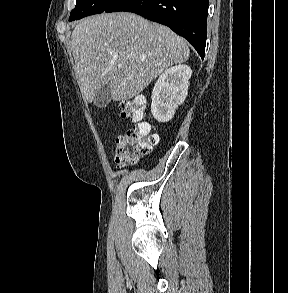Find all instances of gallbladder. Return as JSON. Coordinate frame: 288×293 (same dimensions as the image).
<instances>
[{
    "mask_svg": "<svg viewBox=\"0 0 288 293\" xmlns=\"http://www.w3.org/2000/svg\"><path fill=\"white\" fill-rule=\"evenodd\" d=\"M111 101V88L109 84L101 86L95 94L94 104L98 108L106 107Z\"/></svg>",
    "mask_w": 288,
    "mask_h": 293,
    "instance_id": "gallbladder-1",
    "label": "gallbladder"
}]
</instances>
